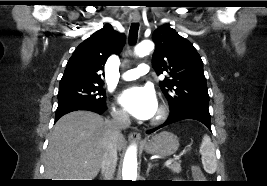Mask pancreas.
Listing matches in <instances>:
<instances>
[{
	"label": "pancreas",
	"mask_w": 267,
	"mask_h": 186,
	"mask_svg": "<svg viewBox=\"0 0 267 186\" xmlns=\"http://www.w3.org/2000/svg\"><path fill=\"white\" fill-rule=\"evenodd\" d=\"M168 168H169L173 173H180V172H181L180 161H174L171 165L168 166Z\"/></svg>",
	"instance_id": "obj_1"
}]
</instances>
